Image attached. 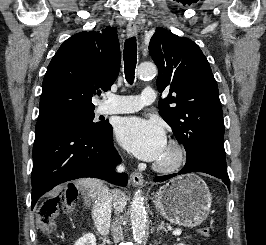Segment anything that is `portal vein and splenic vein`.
Instances as JSON below:
<instances>
[{
    "instance_id": "18ae733b",
    "label": "portal vein and splenic vein",
    "mask_w": 266,
    "mask_h": 245,
    "mask_svg": "<svg viewBox=\"0 0 266 245\" xmlns=\"http://www.w3.org/2000/svg\"><path fill=\"white\" fill-rule=\"evenodd\" d=\"M182 231H173L172 235H175V237H177V235H181Z\"/></svg>"
}]
</instances>
